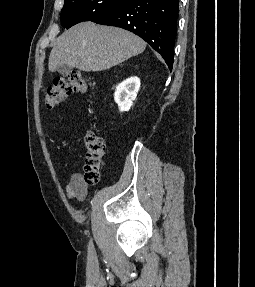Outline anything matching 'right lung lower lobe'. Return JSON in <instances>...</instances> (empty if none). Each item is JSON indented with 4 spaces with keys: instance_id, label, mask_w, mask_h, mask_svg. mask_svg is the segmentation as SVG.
I'll return each instance as SVG.
<instances>
[{
    "instance_id": "right-lung-lower-lobe-1",
    "label": "right lung lower lobe",
    "mask_w": 255,
    "mask_h": 287,
    "mask_svg": "<svg viewBox=\"0 0 255 287\" xmlns=\"http://www.w3.org/2000/svg\"><path fill=\"white\" fill-rule=\"evenodd\" d=\"M179 0H125L92 22L121 27L144 39L173 67Z\"/></svg>"
}]
</instances>
